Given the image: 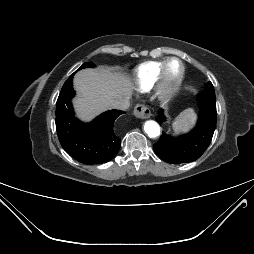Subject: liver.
Here are the masks:
<instances>
[{"instance_id":"1","label":"liver","mask_w":254,"mask_h":254,"mask_svg":"<svg viewBox=\"0 0 254 254\" xmlns=\"http://www.w3.org/2000/svg\"><path fill=\"white\" fill-rule=\"evenodd\" d=\"M77 99L76 113L82 120H90L99 113L112 108V104L129 99L132 94L131 82L119 73L108 69H84L74 77Z\"/></svg>"}]
</instances>
